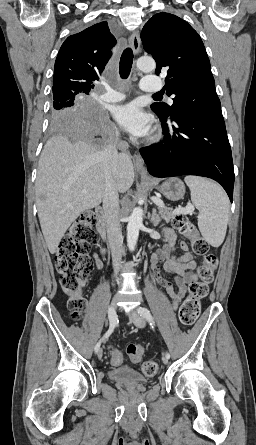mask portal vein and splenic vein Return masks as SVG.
<instances>
[{"label":"portal vein and splenic vein","instance_id":"18ae733b","mask_svg":"<svg viewBox=\"0 0 256 445\" xmlns=\"http://www.w3.org/2000/svg\"><path fill=\"white\" fill-rule=\"evenodd\" d=\"M82 192L86 193L87 191L84 189ZM152 200L159 207H161V208L164 207V203L159 198L153 197ZM193 212H194V207L191 205H188L185 208H177L174 210V213H176V214H193Z\"/></svg>","mask_w":256,"mask_h":445}]
</instances>
